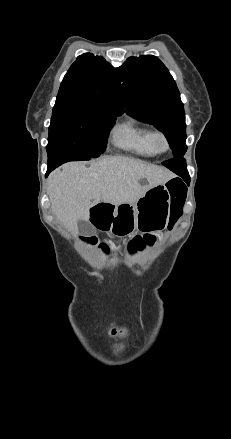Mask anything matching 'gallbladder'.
<instances>
[{
  "instance_id": "gallbladder-1",
  "label": "gallbladder",
  "mask_w": 231,
  "mask_h": 439,
  "mask_svg": "<svg viewBox=\"0 0 231 439\" xmlns=\"http://www.w3.org/2000/svg\"><path fill=\"white\" fill-rule=\"evenodd\" d=\"M78 229L81 233L86 234V235H91L94 233L93 228L87 224L86 222L79 220L78 221Z\"/></svg>"
}]
</instances>
